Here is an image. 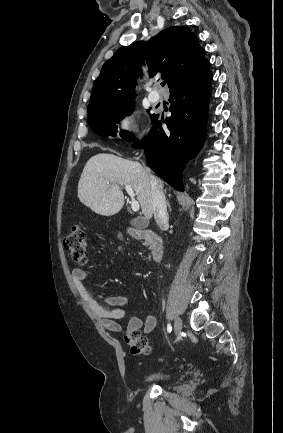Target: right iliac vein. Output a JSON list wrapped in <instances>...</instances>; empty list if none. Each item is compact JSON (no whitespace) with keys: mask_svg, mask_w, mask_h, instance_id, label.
Here are the masks:
<instances>
[{"mask_svg":"<svg viewBox=\"0 0 283 433\" xmlns=\"http://www.w3.org/2000/svg\"><path fill=\"white\" fill-rule=\"evenodd\" d=\"M182 329V320L180 318H177L174 325V333L176 336H178Z\"/></svg>","mask_w":283,"mask_h":433,"instance_id":"1","label":"right iliac vein"}]
</instances>
